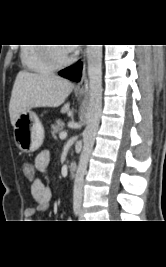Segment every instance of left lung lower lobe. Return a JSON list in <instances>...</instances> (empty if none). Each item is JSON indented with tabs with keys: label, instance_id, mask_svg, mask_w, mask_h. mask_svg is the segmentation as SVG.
Wrapping results in <instances>:
<instances>
[{
	"label": "left lung lower lobe",
	"instance_id": "left-lung-lower-lobe-1",
	"mask_svg": "<svg viewBox=\"0 0 166 267\" xmlns=\"http://www.w3.org/2000/svg\"><path fill=\"white\" fill-rule=\"evenodd\" d=\"M82 63L65 68L59 72V75L73 81H79L81 77Z\"/></svg>",
	"mask_w": 166,
	"mask_h": 267
}]
</instances>
